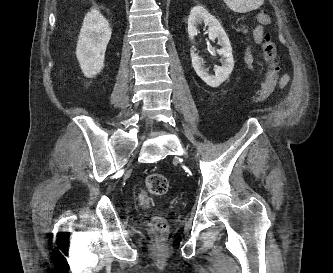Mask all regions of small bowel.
Masks as SVG:
<instances>
[{
	"instance_id": "c3829d8e",
	"label": "small bowel",
	"mask_w": 333,
	"mask_h": 273,
	"mask_svg": "<svg viewBox=\"0 0 333 273\" xmlns=\"http://www.w3.org/2000/svg\"><path fill=\"white\" fill-rule=\"evenodd\" d=\"M252 39L255 43L260 44L263 39V27L261 25H257L254 28H252ZM253 62L254 58L251 52V49L248 48L246 53H245V63L249 68H253ZM289 75L285 74L281 77L280 82H279V87L284 88L288 82H289Z\"/></svg>"
}]
</instances>
